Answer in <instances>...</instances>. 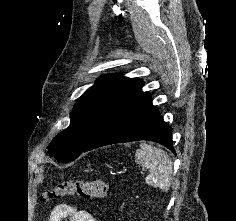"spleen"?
<instances>
[{"label":"spleen","instance_id":"obj_1","mask_svg":"<svg viewBox=\"0 0 236 221\" xmlns=\"http://www.w3.org/2000/svg\"><path fill=\"white\" fill-rule=\"evenodd\" d=\"M135 160L149 169L145 181L148 185L167 191L171 186L173 163L170 156L162 149L141 143L136 150Z\"/></svg>","mask_w":236,"mask_h":221}]
</instances>
